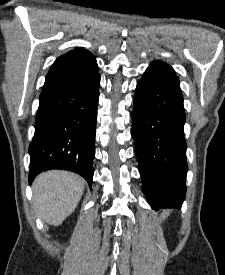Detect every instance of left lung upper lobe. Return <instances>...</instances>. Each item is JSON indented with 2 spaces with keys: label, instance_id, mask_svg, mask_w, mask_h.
I'll use <instances>...</instances> for the list:
<instances>
[{
  "label": "left lung upper lobe",
  "instance_id": "1",
  "mask_svg": "<svg viewBox=\"0 0 225 275\" xmlns=\"http://www.w3.org/2000/svg\"><path fill=\"white\" fill-rule=\"evenodd\" d=\"M148 69L153 70V71L179 83V79L177 78L173 68L162 61L152 62Z\"/></svg>",
  "mask_w": 225,
  "mask_h": 275
}]
</instances>
